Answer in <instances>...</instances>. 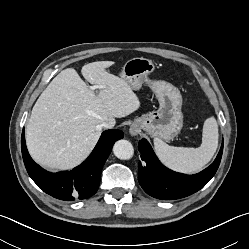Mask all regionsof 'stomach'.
Returning a JSON list of instances; mask_svg holds the SVG:
<instances>
[{
	"label": "stomach",
	"instance_id": "0dacf381",
	"mask_svg": "<svg viewBox=\"0 0 249 249\" xmlns=\"http://www.w3.org/2000/svg\"><path fill=\"white\" fill-rule=\"evenodd\" d=\"M155 70L152 60L136 57L128 60L122 67L121 77L132 89L138 90L147 83L155 93L159 108L136 118L132 128L144 130L152 137L170 141L183 127L182 96L172 84L161 80H150L148 76Z\"/></svg>",
	"mask_w": 249,
	"mask_h": 249
}]
</instances>
